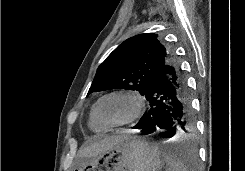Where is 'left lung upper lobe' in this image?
Listing matches in <instances>:
<instances>
[{
	"mask_svg": "<svg viewBox=\"0 0 245 171\" xmlns=\"http://www.w3.org/2000/svg\"><path fill=\"white\" fill-rule=\"evenodd\" d=\"M171 58L157 34L131 37L99 66L87 95L109 89L137 90L144 95Z\"/></svg>",
	"mask_w": 245,
	"mask_h": 171,
	"instance_id": "1",
	"label": "left lung upper lobe"
}]
</instances>
